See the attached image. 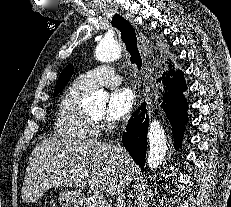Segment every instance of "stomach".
Listing matches in <instances>:
<instances>
[{
  "label": "stomach",
  "mask_w": 231,
  "mask_h": 207,
  "mask_svg": "<svg viewBox=\"0 0 231 207\" xmlns=\"http://www.w3.org/2000/svg\"><path fill=\"white\" fill-rule=\"evenodd\" d=\"M59 203L62 207H79L82 203L81 194L78 191H62L59 194Z\"/></svg>",
  "instance_id": "obj_1"
}]
</instances>
